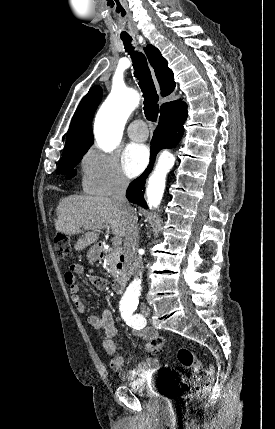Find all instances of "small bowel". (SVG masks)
<instances>
[{"mask_svg": "<svg viewBox=\"0 0 275 429\" xmlns=\"http://www.w3.org/2000/svg\"><path fill=\"white\" fill-rule=\"evenodd\" d=\"M83 270L84 268L81 264H73L70 266L69 272L65 274V282L70 287L71 301L79 313L86 312V305L79 295L80 287L75 282V275L82 273ZM90 282L100 290L105 289L108 284L105 279L98 276H92ZM87 322L94 330L102 333V346L105 355L110 360V367L113 371L119 373L122 378L130 380V378H137L158 369L159 362L154 358H148L132 368L127 369L125 367V355H117V329L113 315L109 310L103 311L100 316L89 315ZM134 335L143 338L147 342L146 348L148 351H151V345L154 341L161 339L158 332L151 328L134 330Z\"/></svg>", "mask_w": 275, "mask_h": 429, "instance_id": "c3829d8e", "label": "small bowel"}]
</instances>
